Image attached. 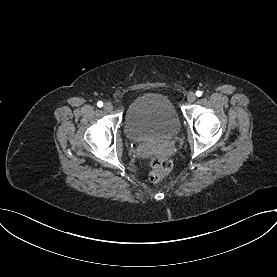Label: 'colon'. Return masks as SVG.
<instances>
[{
	"label": "colon",
	"mask_w": 277,
	"mask_h": 277,
	"mask_svg": "<svg viewBox=\"0 0 277 277\" xmlns=\"http://www.w3.org/2000/svg\"><path fill=\"white\" fill-rule=\"evenodd\" d=\"M151 171L148 179L151 183L160 182L172 169L170 159L162 156H154L150 159Z\"/></svg>",
	"instance_id": "obj_1"
}]
</instances>
